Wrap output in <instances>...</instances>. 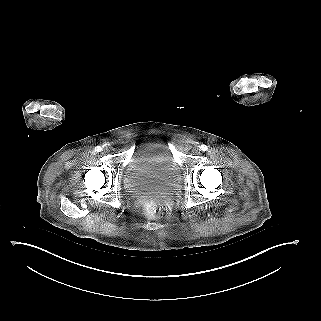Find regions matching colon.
Listing matches in <instances>:
<instances>
[{
	"label": "colon",
	"mask_w": 321,
	"mask_h": 321,
	"mask_svg": "<svg viewBox=\"0 0 321 321\" xmlns=\"http://www.w3.org/2000/svg\"><path fill=\"white\" fill-rule=\"evenodd\" d=\"M144 213L151 219H162L168 216L169 207L160 201H150L144 205Z\"/></svg>",
	"instance_id": "5ec220e1"
}]
</instances>
